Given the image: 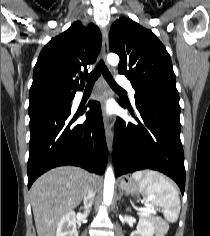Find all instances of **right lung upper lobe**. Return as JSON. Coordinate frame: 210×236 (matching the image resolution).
Listing matches in <instances>:
<instances>
[{"mask_svg": "<svg viewBox=\"0 0 210 236\" xmlns=\"http://www.w3.org/2000/svg\"><path fill=\"white\" fill-rule=\"evenodd\" d=\"M101 47L100 30L93 24L84 27L73 23L65 32L52 38L42 49L33 72L29 99L46 89L75 93L82 90L77 74L95 62Z\"/></svg>", "mask_w": 210, "mask_h": 236, "instance_id": "obj_1", "label": "right lung upper lobe"}]
</instances>
